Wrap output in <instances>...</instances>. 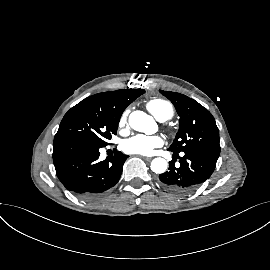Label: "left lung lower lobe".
<instances>
[{
    "label": "left lung lower lobe",
    "instance_id": "1",
    "mask_svg": "<svg viewBox=\"0 0 270 270\" xmlns=\"http://www.w3.org/2000/svg\"><path fill=\"white\" fill-rule=\"evenodd\" d=\"M178 156L180 166L169 162V171L160 174L163 188L177 193L192 192L204 183L213 173L218 157L201 151H185L183 157Z\"/></svg>",
    "mask_w": 270,
    "mask_h": 270
}]
</instances>
